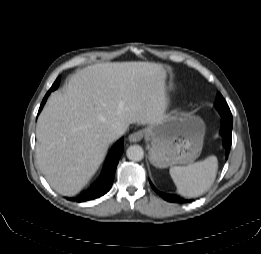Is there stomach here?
Segmentation results:
<instances>
[{
  "label": "stomach",
  "instance_id": "1",
  "mask_svg": "<svg viewBox=\"0 0 261 254\" xmlns=\"http://www.w3.org/2000/svg\"><path fill=\"white\" fill-rule=\"evenodd\" d=\"M161 66V72L168 70ZM150 141V162L159 168L193 162L201 153L205 135L202 119L190 113L163 116L144 129Z\"/></svg>",
  "mask_w": 261,
  "mask_h": 254
}]
</instances>
